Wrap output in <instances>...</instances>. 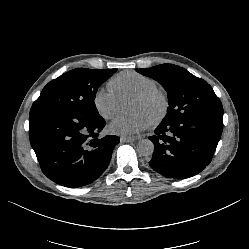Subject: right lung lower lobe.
<instances>
[{
	"mask_svg": "<svg viewBox=\"0 0 249 249\" xmlns=\"http://www.w3.org/2000/svg\"><path fill=\"white\" fill-rule=\"evenodd\" d=\"M99 116L66 110L30 114L29 137L43 173L66 187H80L95 181L107 168L115 135L103 138L105 126Z\"/></svg>",
	"mask_w": 249,
	"mask_h": 249,
	"instance_id": "obj_1",
	"label": "right lung lower lobe"
}]
</instances>
